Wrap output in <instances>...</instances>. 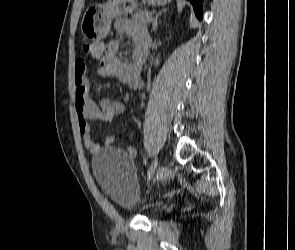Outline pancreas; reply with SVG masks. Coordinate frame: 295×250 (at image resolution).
<instances>
[{"instance_id": "obj_1", "label": "pancreas", "mask_w": 295, "mask_h": 250, "mask_svg": "<svg viewBox=\"0 0 295 250\" xmlns=\"http://www.w3.org/2000/svg\"><path fill=\"white\" fill-rule=\"evenodd\" d=\"M148 16V12L146 11H140L132 15L131 23L133 25L137 26H144L145 25V19Z\"/></svg>"}]
</instances>
